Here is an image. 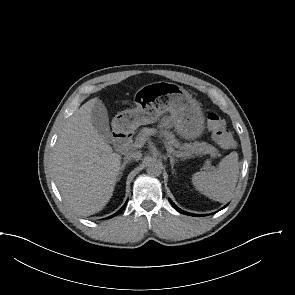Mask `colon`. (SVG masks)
I'll use <instances>...</instances> for the list:
<instances>
[{"label": "colon", "instance_id": "1", "mask_svg": "<svg viewBox=\"0 0 295 295\" xmlns=\"http://www.w3.org/2000/svg\"><path fill=\"white\" fill-rule=\"evenodd\" d=\"M206 121L214 141L222 149H231L234 147V138L230 131L226 128L225 121L218 113L213 110H209L206 113Z\"/></svg>", "mask_w": 295, "mask_h": 295}]
</instances>
